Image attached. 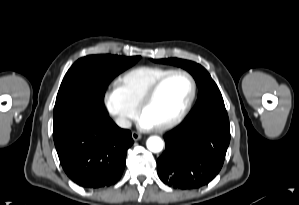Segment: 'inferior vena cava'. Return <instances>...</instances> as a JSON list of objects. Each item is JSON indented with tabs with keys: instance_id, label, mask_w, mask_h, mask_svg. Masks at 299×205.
<instances>
[{
	"instance_id": "inferior-vena-cava-1",
	"label": "inferior vena cava",
	"mask_w": 299,
	"mask_h": 205,
	"mask_svg": "<svg viewBox=\"0 0 299 205\" xmlns=\"http://www.w3.org/2000/svg\"><path fill=\"white\" fill-rule=\"evenodd\" d=\"M115 122L121 128H130L131 127V121L125 117H117Z\"/></svg>"
}]
</instances>
